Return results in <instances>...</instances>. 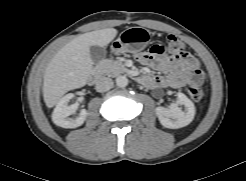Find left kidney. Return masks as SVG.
Masks as SVG:
<instances>
[{
  "label": "left kidney",
  "instance_id": "5707ae66",
  "mask_svg": "<svg viewBox=\"0 0 246 181\" xmlns=\"http://www.w3.org/2000/svg\"><path fill=\"white\" fill-rule=\"evenodd\" d=\"M178 105H184L182 111ZM195 106L193 102L183 93H177V104L172 103L168 107H157L156 115L160 123L170 129H178L190 124L195 116Z\"/></svg>",
  "mask_w": 246,
  "mask_h": 181
}]
</instances>
